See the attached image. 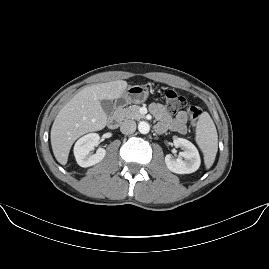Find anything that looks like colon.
<instances>
[{"mask_svg":"<svg viewBox=\"0 0 269 269\" xmlns=\"http://www.w3.org/2000/svg\"><path fill=\"white\" fill-rule=\"evenodd\" d=\"M164 105L170 113H177L181 109L186 108L192 124H196L202 115V111L198 106L187 104L185 97L174 91H168L165 94Z\"/></svg>","mask_w":269,"mask_h":269,"instance_id":"colon-1","label":"colon"}]
</instances>
